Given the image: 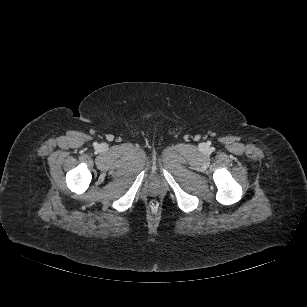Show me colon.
I'll return each mask as SVG.
<instances>
[{"mask_svg":"<svg viewBox=\"0 0 307 307\" xmlns=\"http://www.w3.org/2000/svg\"><path fill=\"white\" fill-rule=\"evenodd\" d=\"M152 208H157L158 207V203L156 201H153L151 203Z\"/></svg>","mask_w":307,"mask_h":307,"instance_id":"1","label":"colon"}]
</instances>
